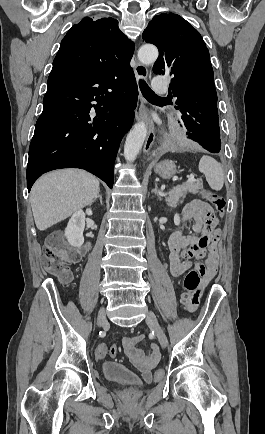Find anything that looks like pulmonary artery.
<instances>
[{"instance_id":"e3ab8cb5","label":"pulmonary artery","mask_w":265,"mask_h":434,"mask_svg":"<svg viewBox=\"0 0 265 434\" xmlns=\"http://www.w3.org/2000/svg\"><path fill=\"white\" fill-rule=\"evenodd\" d=\"M151 82L152 84H164L165 77L164 75H152Z\"/></svg>"}]
</instances>
